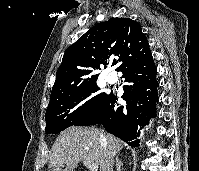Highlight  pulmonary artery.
Here are the masks:
<instances>
[{"mask_svg": "<svg viewBox=\"0 0 199 171\" xmlns=\"http://www.w3.org/2000/svg\"><path fill=\"white\" fill-rule=\"evenodd\" d=\"M107 81H108V83L113 84L116 82V78L109 75V76H107Z\"/></svg>", "mask_w": 199, "mask_h": 171, "instance_id": "1", "label": "pulmonary artery"}]
</instances>
